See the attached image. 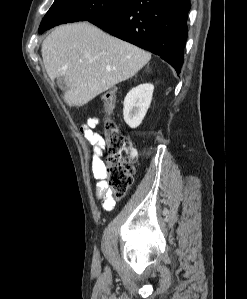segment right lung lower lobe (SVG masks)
<instances>
[{
    "label": "right lung lower lobe",
    "instance_id": "1",
    "mask_svg": "<svg viewBox=\"0 0 247 299\" xmlns=\"http://www.w3.org/2000/svg\"><path fill=\"white\" fill-rule=\"evenodd\" d=\"M189 9L190 0H129L89 22L159 55L179 74L184 61Z\"/></svg>",
    "mask_w": 247,
    "mask_h": 299
}]
</instances>
